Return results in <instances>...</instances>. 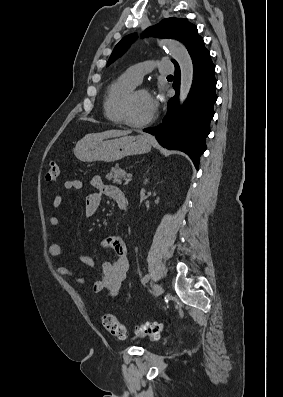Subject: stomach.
<instances>
[{
  "label": "stomach",
  "mask_w": 283,
  "mask_h": 397,
  "mask_svg": "<svg viewBox=\"0 0 283 397\" xmlns=\"http://www.w3.org/2000/svg\"><path fill=\"white\" fill-rule=\"evenodd\" d=\"M151 146L152 142L146 135L111 140L82 139L76 144L74 154L83 162H114L126 156L148 153Z\"/></svg>",
  "instance_id": "1"
}]
</instances>
